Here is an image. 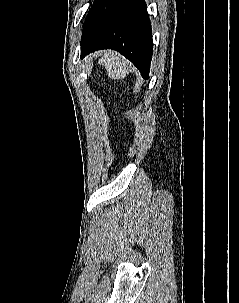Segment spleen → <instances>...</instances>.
I'll return each instance as SVG.
<instances>
[{
	"mask_svg": "<svg viewBox=\"0 0 239 303\" xmlns=\"http://www.w3.org/2000/svg\"><path fill=\"white\" fill-rule=\"evenodd\" d=\"M98 63L105 67L109 77L113 79L124 78L129 73L128 61L116 52H104Z\"/></svg>",
	"mask_w": 239,
	"mask_h": 303,
	"instance_id": "obj_1",
	"label": "spleen"
}]
</instances>
